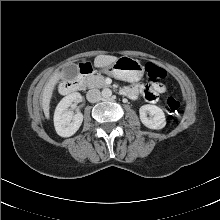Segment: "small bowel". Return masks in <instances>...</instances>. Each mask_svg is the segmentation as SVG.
I'll return each instance as SVG.
<instances>
[{
  "label": "small bowel",
  "mask_w": 220,
  "mask_h": 220,
  "mask_svg": "<svg viewBox=\"0 0 220 220\" xmlns=\"http://www.w3.org/2000/svg\"><path fill=\"white\" fill-rule=\"evenodd\" d=\"M164 91L165 87L162 84H155L147 87L138 84L133 87H127L123 90L126 95L132 98H135L139 93H143L145 98L151 103H155Z\"/></svg>",
  "instance_id": "1"
}]
</instances>
